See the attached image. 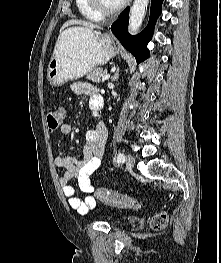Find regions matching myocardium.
<instances>
[{"label": "myocardium", "instance_id": "myocardium-1", "mask_svg": "<svg viewBox=\"0 0 221 263\" xmlns=\"http://www.w3.org/2000/svg\"><path fill=\"white\" fill-rule=\"evenodd\" d=\"M89 6L94 10L99 16L103 17H112L117 15L124 7L125 1L123 0L119 6L113 9H106L101 0H87Z\"/></svg>", "mask_w": 221, "mask_h": 263}]
</instances>
